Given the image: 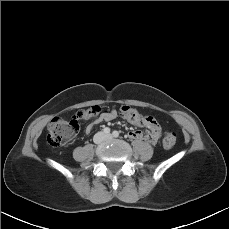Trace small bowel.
<instances>
[{
	"label": "small bowel",
	"instance_id": "small-bowel-1",
	"mask_svg": "<svg viewBox=\"0 0 229 229\" xmlns=\"http://www.w3.org/2000/svg\"><path fill=\"white\" fill-rule=\"evenodd\" d=\"M116 116L117 112L115 110L101 113L94 122H92L86 127L85 133L90 134L95 124L101 122H109L115 119ZM143 124L148 129L146 133L142 131H132L129 133V136L133 139H143L149 143H156L160 134V127L156 119L152 116H146Z\"/></svg>",
	"mask_w": 229,
	"mask_h": 229
}]
</instances>
